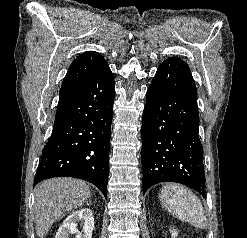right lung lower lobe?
I'll use <instances>...</instances> for the list:
<instances>
[{
    "instance_id": "1",
    "label": "right lung lower lobe",
    "mask_w": 247,
    "mask_h": 238,
    "mask_svg": "<svg viewBox=\"0 0 247 238\" xmlns=\"http://www.w3.org/2000/svg\"><path fill=\"white\" fill-rule=\"evenodd\" d=\"M115 84L107 67L85 87L58 103L51 137L45 145L35 183L75 177L107 197L108 159Z\"/></svg>"
}]
</instances>
